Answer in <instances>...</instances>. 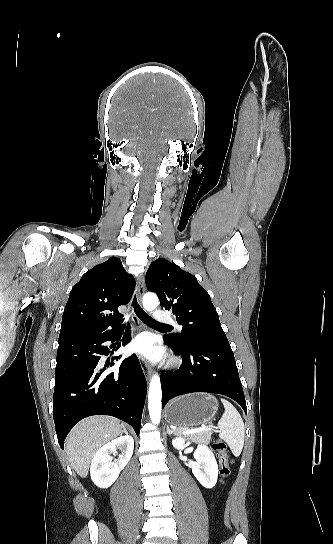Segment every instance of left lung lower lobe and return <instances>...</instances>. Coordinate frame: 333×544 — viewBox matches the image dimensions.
Here are the masks:
<instances>
[{"mask_svg": "<svg viewBox=\"0 0 333 544\" xmlns=\"http://www.w3.org/2000/svg\"><path fill=\"white\" fill-rule=\"evenodd\" d=\"M164 342L183 360L181 367L161 375L162 407L173 397L209 392L235 400L247 414L244 392L230 344L201 341L188 347H178L164 336Z\"/></svg>", "mask_w": 333, "mask_h": 544, "instance_id": "0a47b994", "label": "left lung lower lobe"}]
</instances>
